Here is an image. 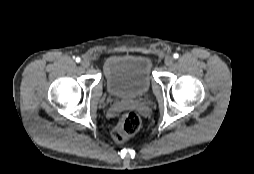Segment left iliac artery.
<instances>
[{
	"label": "left iliac artery",
	"mask_w": 254,
	"mask_h": 174,
	"mask_svg": "<svg viewBox=\"0 0 254 174\" xmlns=\"http://www.w3.org/2000/svg\"><path fill=\"white\" fill-rule=\"evenodd\" d=\"M173 57H174L175 59H177V58L179 57V54H178V53H175V54L173 55Z\"/></svg>",
	"instance_id": "obj_1"
}]
</instances>
